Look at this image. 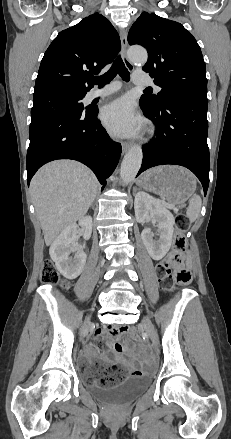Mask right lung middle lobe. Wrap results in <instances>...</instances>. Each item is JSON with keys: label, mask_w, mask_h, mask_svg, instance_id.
I'll use <instances>...</instances> for the list:
<instances>
[{"label": "right lung middle lobe", "mask_w": 231, "mask_h": 439, "mask_svg": "<svg viewBox=\"0 0 231 439\" xmlns=\"http://www.w3.org/2000/svg\"><path fill=\"white\" fill-rule=\"evenodd\" d=\"M85 94L51 93L33 99L31 122L59 115L66 112L84 110L81 100Z\"/></svg>", "instance_id": "obj_1"}]
</instances>
